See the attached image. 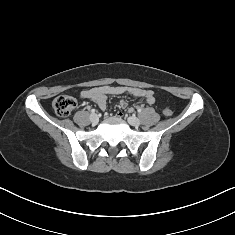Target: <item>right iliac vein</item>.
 Here are the masks:
<instances>
[{
    "mask_svg": "<svg viewBox=\"0 0 235 235\" xmlns=\"http://www.w3.org/2000/svg\"><path fill=\"white\" fill-rule=\"evenodd\" d=\"M90 120L93 124H96L99 121V117H98L97 114L93 113V114L90 115Z\"/></svg>",
    "mask_w": 235,
    "mask_h": 235,
    "instance_id": "obj_1",
    "label": "right iliac vein"
}]
</instances>
